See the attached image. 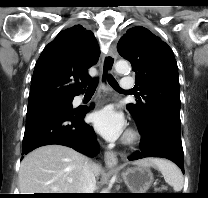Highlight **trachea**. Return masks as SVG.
<instances>
[{"mask_svg":"<svg viewBox=\"0 0 208 198\" xmlns=\"http://www.w3.org/2000/svg\"><path fill=\"white\" fill-rule=\"evenodd\" d=\"M108 82H109L110 86H111L114 90L122 91V89L119 87L118 82L114 79L113 76H111V75L108 76ZM96 87H97V81H96V80H93V81L90 83V85H89L87 91H89V92H95Z\"/></svg>","mask_w":208,"mask_h":198,"instance_id":"trachea-1","label":"trachea"}]
</instances>
